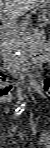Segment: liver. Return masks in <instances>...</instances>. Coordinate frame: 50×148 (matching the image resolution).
Here are the masks:
<instances>
[{
    "label": "liver",
    "instance_id": "liver-1",
    "mask_svg": "<svg viewBox=\"0 0 50 148\" xmlns=\"http://www.w3.org/2000/svg\"><path fill=\"white\" fill-rule=\"evenodd\" d=\"M45 0H1L0 6L3 9L6 20L12 22L34 7L45 3Z\"/></svg>",
    "mask_w": 50,
    "mask_h": 148
}]
</instances>
